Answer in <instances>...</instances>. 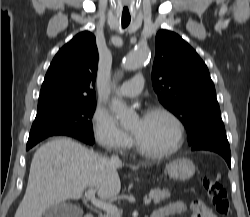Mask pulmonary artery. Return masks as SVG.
Wrapping results in <instances>:
<instances>
[{"mask_svg": "<svg viewBox=\"0 0 250 217\" xmlns=\"http://www.w3.org/2000/svg\"><path fill=\"white\" fill-rule=\"evenodd\" d=\"M144 78L136 75L131 80L124 82L118 89L117 94L122 97H135L143 89Z\"/></svg>", "mask_w": 250, "mask_h": 217, "instance_id": "obj_1", "label": "pulmonary artery"}]
</instances>
